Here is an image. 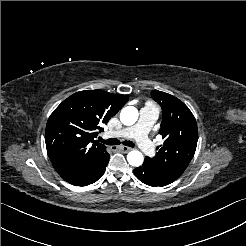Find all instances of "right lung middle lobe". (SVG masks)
I'll return each mask as SVG.
<instances>
[{"label": "right lung middle lobe", "instance_id": "obj_1", "mask_svg": "<svg viewBox=\"0 0 246 246\" xmlns=\"http://www.w3.org/2000/svg\"><path fill=\"white\" fill-rule=\"evenodd\" d=\"M71 164H81V163L77 162V163H71ZM82 164H87V163H82Z\"/></svg>", "mask_w": 246, "mask_h": 246}]
</instances>
